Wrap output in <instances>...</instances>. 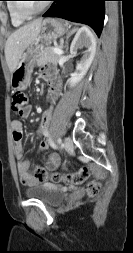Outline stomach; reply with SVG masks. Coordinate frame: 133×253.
<instances>
[{
    "label": "stomach",
    "mask_w": 133,
    "mask_h": 253,
    "mask_svg": "<svg viewBox=\"0 0 133 253\" xmlns=\"http://www.w3.org/2000/svg\"><path fill=\"white\" fill-rule=\"evenodd\" d=\"M66 33L65 26L57 19L47 18L42 21L41 31L37 39L22 54L16 69L11 74V86L14 90H25L29 83L36 62L39 43L50 44Z\"/></svg>",
    "instance_id": "1"
}]
</instances>
